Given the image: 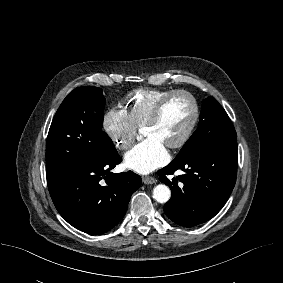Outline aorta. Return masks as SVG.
I'll use <instances>...</instances> for the list:
<instances>
[{"instance_id":"1","label":"aorta","mask_w":283,"mask_h":283,"mask_svg":"<svg viewBox=\"0 0 283 283\" xmlns=\"http://www.w3.org/2000/svg\"><path fill=\"white\" fill-rule=\"evenodd\" d=\"M171 197V191L168 186L159 184L153 189V198L159 203H166Z\"/></svg>"}]
</instances>
